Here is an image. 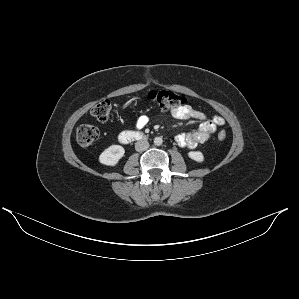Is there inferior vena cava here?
<instances>
[{
	"mask_svg": "<svg viewBox=\"0 0 299 299\" xmlns=\"http://www.w3.org/2000/svg\"><path fill=\"white\" fill-rule=\"evenodd\" d=\"M149 148V143L145 140H141L135 143V149L138 152L145 151Z\"/></svg>",
	"mask_w": 299,
	"mask_h": 299,
	"instance_id": "602c4592",
	"label": "inferior vena cava"
}]
</instances>
